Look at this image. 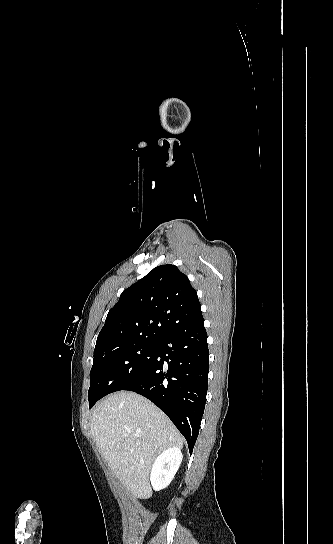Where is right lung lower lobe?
I'll return each instance as SVG.
<instances>
[{
  "mask_svg": "<svg viewBox=\"0 0 333 544\" xmlns=\"http://www.w3.org/2000/svg\"><path fill=\"white\" fill-rule=\"evenodd\" d=\"M208 366L207 333L200 316L159 339L154 358L121 390L134 391L158 406L192 453L205 408Z\"/></svg>",
  "mask_w": 333,
  "mask_h": 544,
  "instance_id": "obj_1",
  "label": "right lung lower lobe"
}]
</instances>
